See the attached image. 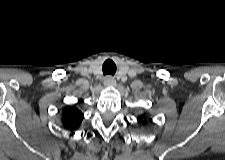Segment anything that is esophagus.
<instances>
[{"label":"esophagus","mask_w":225,"mask_h":160,"mask_svg":"<svg viewBox=\"0 0 225 160\" xmlns=\"http://www.w3.org/2000/svg\"><path fill=\"white\" fill-rule=\"evenodd\" d=\"M116 84V81L111 76H106L104 79V86H114Z\"/></svg>","instance_id":"1"}]
</instances>
